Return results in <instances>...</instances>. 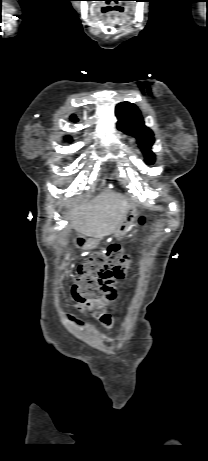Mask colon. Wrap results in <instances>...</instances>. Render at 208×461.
Returning <instances> with one entry per match:
<instances>
[{
  "instance_id": "5ec220e1",
  "label": "colon",
  "mask_w": 208,
  "mask_h": 461,
  "mask_svg": "<svg viewBox=\"0 0 208 461\" xmlns=\"http://www.w3.org/2000/svg\"><path fill=\"white\" fill-rule=\"evenodd\" d=\"M144 225V219L139 220ZM131 265L130 257L118 244H111L103 254L95 255L81 264L72 286L79 310L90 309L103 295L107 284L123 278Z\"/></svg>"
}]
</instances>
